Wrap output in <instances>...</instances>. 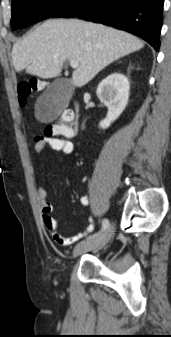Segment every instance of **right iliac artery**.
Wrapping results in <instances>:
<instances>
[{
  "mask_svg": "<svg viewBox=\"0 0 171 337\" xmlns=\"http://www.w3.org/2000/svg\"><path fill=\"white\" fill-rule=\"evenodd\" d=\"M109 225H110L109 224V220L108 219H103L101 231L98 232V233H96V234H94V235H92V236H89L88 239H91V238H94V237L100 235L103 231H105L109 227Z\"/></svg>",
  "mask_w": 171,
  "mask_h": 337,
  "instance_id": "82829eb1",
  "label": "right iliac artery"
}]
</instances>
